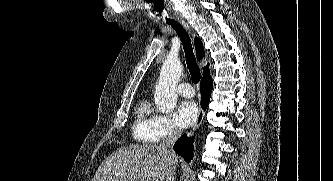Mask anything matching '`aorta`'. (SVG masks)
Instances as JSON below:
<instances>
[{
  "label": "aorta",
  "instance_id": "762f6f07",
  "mask_svg": "<svg viewBox=\"0 0 333 181\" xmlns=\"http://www.w3.org/2000/svg\"><path fill=\"white\" fill-rule=\"evenodd\" d=\"M180 60L168 58L162 65L158 83L155 87V104L162 113L172 111L177 103L176 85L181 77Z\"/></svg>",
  "mask_w": 333,
  "mask_h": 181
}]
</instances>
